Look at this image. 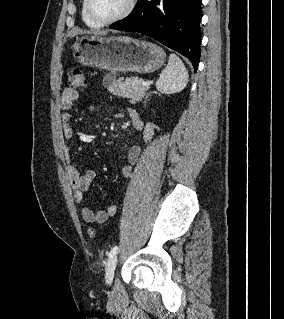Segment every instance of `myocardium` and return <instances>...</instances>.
Wrapping results in <instances>:
<instances>
[{"label":"myocardium","instance_id":"1","mask_svg":"<svg viewBox=\"0 0 284 319\" xmlns=\"http://www.w3.org/2000/svg\"><path fill=\"white\" fill-rule=\"evenodd\" d=\"M136 1L137 0H127L125 8L118 15L108 20L99 19L93 14L91 9V0H85V11L88 18L95 24L99 26H108L127 18L134 10Z\"/></svg>","mask_w":284,"mask_h":319}]
</instances>
